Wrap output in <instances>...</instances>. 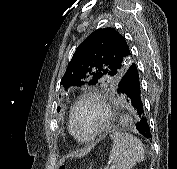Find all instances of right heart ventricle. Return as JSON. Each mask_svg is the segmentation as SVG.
<instances>
[{
  "instance_id": "1",
  "label": "right heart ventricle",
  "mask_w": 177,
  "mask_h": 169,
  "mask_svg": "<svg viewBox=\"0 0 177 169\" xmlns=\"http://www.w3.org/2000/svg\"><path fill=\"white\" fill-rule=\"evenodd\" d=\"M68 130H69L70 134H71L75 139H77L79 142L86 143V141H81V140H79V139L74 135V133H73V131H72V129H71V126H70V121H69V123H68Z\"/></svg>"
}]
</instances>
